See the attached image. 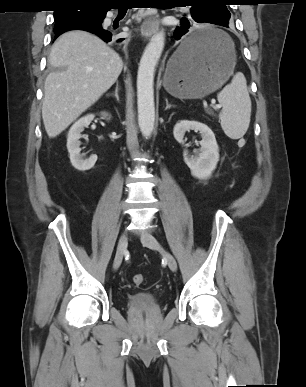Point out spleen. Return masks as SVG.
Here are the masks:
<instances>
[{
	"label": "spleen",
	"instance_id": "spleen-1",
	"mask_svg": "<svg viewBox=\"0 0 306 387\" xmlns=\"http://www.w3.org/2000/svg\"><path fill=\"white\" fill-rule=\"evenodd\" d=\"M217 99L222 106L219 119L224 133L231 139L243 137L251 117V99L244 75L237 72L231 83L218 93Z\"/></svg>",
	"mask_w": 306,
	"mask_h": 387
}]
</instances>
